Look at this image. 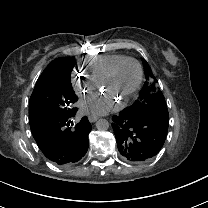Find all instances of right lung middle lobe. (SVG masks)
<instances>
[{"label": "right lung middle lobe", "mask_w": 208, "mask_h": 208, "mask_svg": "<svg viewBox=\"0 0 208 208\" xmlns=\"http://www.w3.org/2000/svg\"><path fill=\"white\" fill-rule=\"evenodd\" d=\"M72 58L61 57L52 61L37 80L29 102L30 121H48L57 116L75 114L78 100L71 84Z\"/></svg>", "instance_id": "dd1d6c3e"}]
</instances>
